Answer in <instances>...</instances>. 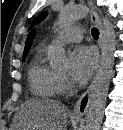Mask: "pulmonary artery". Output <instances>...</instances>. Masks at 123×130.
<instances>
[{
	"mask_svg": "<svg viewBox=\"0 0 123 130\" xmlns=\"http://www.w3.org/2000/svg\"><path fill=\"white\" fill-rule=\"evenodd\" d=\"M82 38L83 31L79 27L72 26L63 30L55 39H53L52 44L58 45L79 42Z\"/></svg>",
	"mask_w": 123,
	"mask_h": 130,
	"instance_id": "pulmonary-artery-1",
	"label": "pulmonary artery"
}]
</instances>
